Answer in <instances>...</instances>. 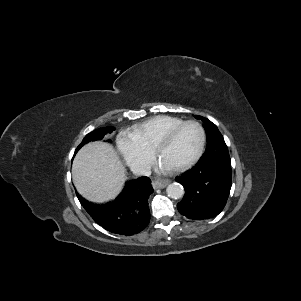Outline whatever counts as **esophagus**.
<instances>
[{
  "label": "esophagus",
  "mask_w": 301,
  "mask_h": 301,
  "mask_svg": "<svg viewBox=\"0 0 301 301\" xmlns=\"http://www.w3.org/2000/svg\"><path fill=\"white\" fill-rule=\"evenodd\" d=\"M169 183V180H159V181H155L153 182V188L154 189H162L164 187H166Z\"/></svg>",
  "instance_id": "obj_1"
}]
</instances>
